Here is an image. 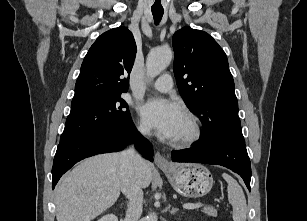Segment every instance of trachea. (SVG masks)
Instances as JSON below:
<instances>
[{
	"label": "trachea",
	"mask_w": 307,
	"mask_h": 221,
	"mask_svg": "<svg viewBox=\"0 0 307 221\" xmlns=\"http://www.w3.org/2000/svg\"><path fill=\"white\" fill-rule=\"evenodd\" d=\"M164 10L163 9H152V14L155 20V24H158L162 19Z\"/></svg>",
	"instance_id": "obj_1"
}]
</instances>
